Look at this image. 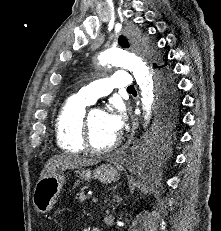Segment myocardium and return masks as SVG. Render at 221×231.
<instances>
[{
    "label": "myocardium",
    "instance_id": "obj_1",
    "mask_svg": "<svg viewBox=\"0 0 221 231\" xmlns=\"http://www.w3.org/2000/svg\"><path fill=\"white\" fill-rule=\"evenodd\" d=\"M91 112L85 113L83 120H82V142L84 148L94 154H106L113 150H115L121 143V136L118 135L116 139L107 147L99 148L96 147L91 139V127H90V116Z\"/></svg>",
    "mask_w": 221,
    "mask_h": 231
}]
</instances>
